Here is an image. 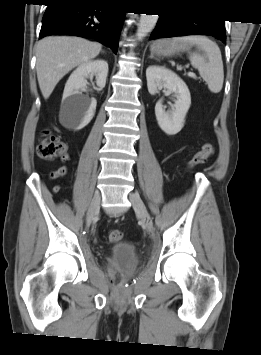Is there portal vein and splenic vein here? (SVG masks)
<instances>
[{
  "label": "portal vein and splenic vein",
  "mask_w": 261,
  "mask_h": 355,
  "mask_svg": "<svg viewBox=\"0 0 261 355\" xmlns=\"http://www.w3.org/2000/svg\"><path fill=\"white\" fill-rule=\"evenodd\" d=\"M187 75H188L189 77H193V78L196 77V74H195L194 72H188Z\"/></svg>",
  "instance_id": "portal-vein-and-splenic-vein-1"
}]
</instances>
